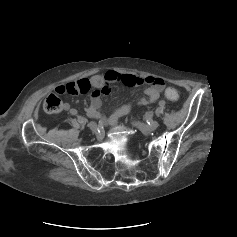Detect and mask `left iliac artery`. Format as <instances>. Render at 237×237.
<instances>
[{
	"label": "left iliac artery",
	"mask_w": 237,
	"mask_h": 237,
	"mask_svg": "<svg viewBox=\"0 0 237 237\" xmlns=\"http://www.w3.org/2000/svg\"><path fill=\"white\" fill-rule=\"evenodd\" d=\"M159 105H160L161 107L164 106V105H165V101H164V100L159 101Z\"/></svg>",
	"instance_id": "obj_1"
}]
</instances>
